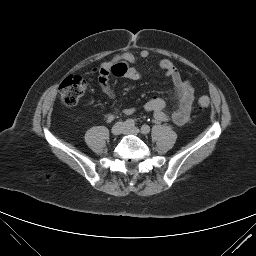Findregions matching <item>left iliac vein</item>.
Wrapping results in <instances>:
<instances>
[{"mask_svg": "<svg viewBox=\"0 0 256 256\" xmlns=\"http://www.w3.org/2000/svg\"><path fill=\"white\" fill-rule=\"evenodd\" d=\"M140 133V129L137 127H125L124 134H132L138 135Z\"/></svg>", "mask_w": 256, "mask_h": 256, "instance_id": "1", "label": "left iliac vein"}]
</instances>
